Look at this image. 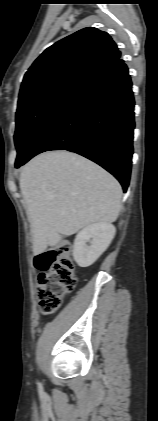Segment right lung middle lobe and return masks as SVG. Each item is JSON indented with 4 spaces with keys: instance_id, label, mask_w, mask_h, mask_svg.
Instances as JSON below:
<instances>
[{
    "instance_id": "obj_1",
    "label": "right lung middle lobe",
    "mask_w": 158,
    "mask_h": 421,
    "mask_svg": "<svg viewBox=\"0 0 158 421\" xmlns=\"http://www.w3.org/2000/svg\"><path fill=\"white\" fill-rule=\"evenodd\" d=\"M83 84L61 83L18 100L16 131V168L28 157L34 143L48 125L58 116Z\"/></svg>"
}]
</instances>
